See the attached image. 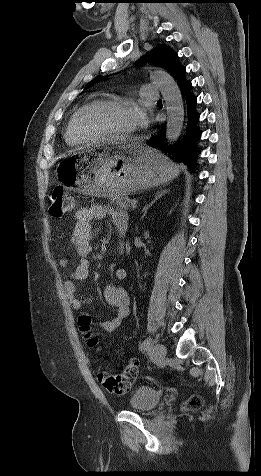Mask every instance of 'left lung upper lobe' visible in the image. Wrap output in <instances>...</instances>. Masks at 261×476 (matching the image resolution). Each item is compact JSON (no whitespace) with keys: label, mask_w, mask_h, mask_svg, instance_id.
Returning a JSON list of instances; mask_svg holds the SVG:
<instances>
[{"label":"left lung upper lobe","mask_w":261,"mask_h":476,"mask_svg":"<svg viewBox=\"0 0 261 476\" xmlns=\"http://www.w3.org/2000/svg\"><path fill=\"white\" fill-rule=\"evenodd\" d=\"M152 53L155 55L156 64L168 70L175 78L179 74V72L184 68L177 63V59H178L177 54H175L171 49H169L165 45L160 44L159 48L154 49ZM147 59H152V57L149 56L147 57ZM100 78H103V77L101 76L96 77L86 86V88L92 86L95 83V80Z\"/></svg>","instance_id":"1"}]
</instances>
